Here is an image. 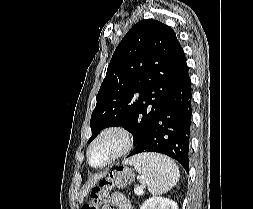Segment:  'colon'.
<instances>
[{"mask_svg": "<svg viewBox=\"0 0 253 209\" xmlns=\"http://www.w3.org/2000/svg\"><path fill=\"white\" fill-rule=\"evenodd\" d=\"M133 175L125 169L113 171L109 177L103 179L99 185L91 190V203L83 205L82 209H98L105 192L112 186H125L132 181Z\"/></svg>", "mask_w": 253, "mask_h": 209, "instance_id": "5ec220e1", "label": "colon"}]
</instances>
